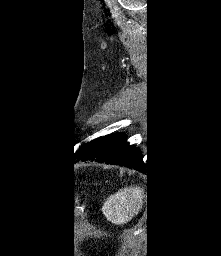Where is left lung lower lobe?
Instances as JSON below:
<instances>
[{
	"mask_svg": "<svg viewBox=\"0 0 221 256\" xmlns=\"http://www.w3.org/2000/svg\"><path fill=\"white\" fill-rule=\"evenodd\" d=\"M92 160L99 163L117 164L139 171H144L146 165L142 161L141 151L126 141V135L116 133L96 138L82 145L72 156V161ZM148 172V163H147Z\"/></svg>",
	"mask_w": 221,
	"mask_h": 256,
	"instance_id": "left-lung-lower-lobe-1",
	"label": "left lung lower lobe"
}]
</instances>
